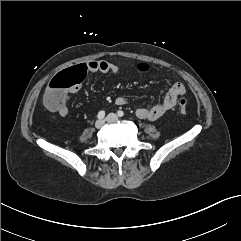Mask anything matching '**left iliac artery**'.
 <instances>
[{
  "label": "left iliac artery",
  "instance_id": "1",
  "mask_svg": "<svg viewBox=\"0 0 241 241\" xmlns=\"http://www.w3.org/2000/svg\"><path fill=\"white\" fill-rule=\"evenodd\" d=\"M117 114H118L119 117H122V116L124 115V112H123L122 110H119V111L117 112Z\"/></svg>",
  "mask_w": 241,
  "mask_h": 241
}]
</instances>
